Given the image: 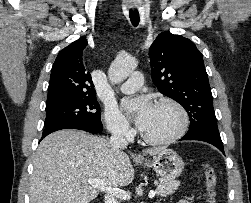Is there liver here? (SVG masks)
<instances>
[{
  "mask_svg": "<svg viewBox=\"0 0 251 203\" xmlns=\"http://www.w3.org/2000/svg\"><path fill=\"white\" fill-rule=\"evenodd\" d=\"M162 149L146 152L154 156ZM33 165L30 203H89L100 190L88 179L97 178L109 187L127 186L134 179L126 153L114 151L108 140L76 130L44 138Z\"/></svg>",
  "mask_w": 251,
  "mask_h": 203,
  "instance_id": "1",
  "label": "liver"
}]
</instances>
